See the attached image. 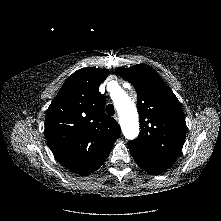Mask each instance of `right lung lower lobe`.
I'll return each instance as SVG.
<instances>
[{"instance_id": "1", "label": "right lung lower lobe", "mask_w": 221, "mask_h": 221, "mask_svg": "<svg viewBox=\"0 0 221 221\" xmlns=\"http://www.w3.org/2000/svg\"><path fill=\"white\" fill-rule=\"evenodd\" d=\"M106 159H107V157L105 159H103L96 167H94V168H92V169H90L88 171L82 172V173H80V175H88V174L94 172L95 170H97L105 162Z\"/></svg>"}]
</instances>
